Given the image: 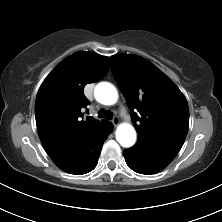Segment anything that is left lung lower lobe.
<instances>
[{"instance_id":"0a47b994","label":"left lung lower lobe","mask_w":222,"mask_h":222,"mask_svg":"<svg viewBox=\"0 0 222 222\" xmlns=\"http://www.w3.org/2000/svg\"><path fill=\"white\" fill-rule=\"evenodd\" d=\"M125 161L127 165L134 170L137 173L140 174H154L163 169L160 166H157L145 159H142L132 153H130L128 150L123 151Z\"/></svg>"}]
</instances>
